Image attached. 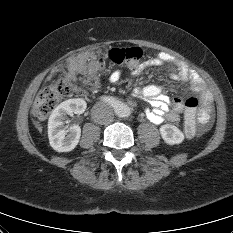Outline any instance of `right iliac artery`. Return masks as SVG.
Instances as JSON below:
<instances>
[{
    "label": "right iliac artery",
    "instance_id": "82829eb1",
    "mask_svg": "<svg viewBox=\"0 0 233 233\" xmlns=\"http://www.w3.org/2000/svg\"><path fill=\"white\" fill-rule=\"evenodd\" d=\"M101 100H102L103 102H105V103L110 104V105L113 106V107H116V106H117V103H116L115 99L112 98V97H103Z\"/></svg>",
    "mask_w": 233,
    "mask_h": 233
}]
</instances>
